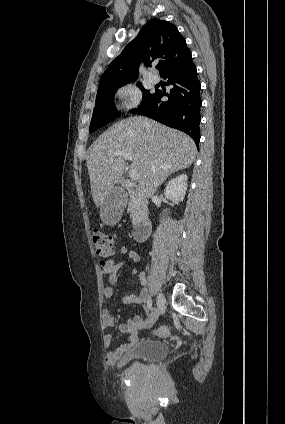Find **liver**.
<instances>
[{
	"label": "liver",
	"mask_w": 285,
	"mask_h": 424,
	"mask_svg": "<svg viewBox=\"0 0 285 424\" xmlns=\"http://www.w3.org/2000/svg\"><path fill=\"white\" fill-rule=\"evenodd\" d=\"M119 151L132 156V166L139 173L137 189L145 198L152 197L168 175L189 167L196 157L195 142L181 131L146 117L121 120L100 135L87 152L96 207L105 201L124 173L125 158L114 157Z\"/></svg>",
	"instance_id": "obj_1"
}]
</instances>
